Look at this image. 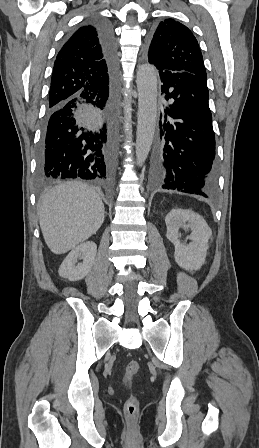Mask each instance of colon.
Listing matches in <instances>:
<instances>
[{"label": "colon", "mask_w": 259, "mask_h": 448, "mask_svg": "<svg viewBox=\"0 0 259 448\" xmlns=\"http://www.w3.org/2000/svg\"><path fill=\"white\" fill-rule=\"evenodd\" d=\"M139 370V363L136 360H131L125 368V377L132 378ZM125 415L130 424H133L139 413V400L136 397H130L125 403Z\"/></svg>", "instance_id": "5ec220e1"}]
</instances>
